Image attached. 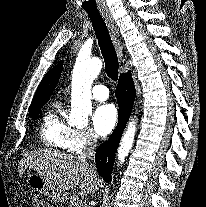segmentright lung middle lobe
<instances>
[{
  "mask_svg": "<svg viewBox=\"0 0 206 207\" xmlns=\"http://www.w3.org/2000/svg\"><path fill=\"white\" fill-rule=\"evenodd\" d=\"M43 105L29 109V117L35 119L40 112V109Z\"/></svg>",
  "mask_w": 206,
  "mask_h": 207,
  "instance_id": "1",
  "label": "right lung middle lobe"
}]
</instances>
